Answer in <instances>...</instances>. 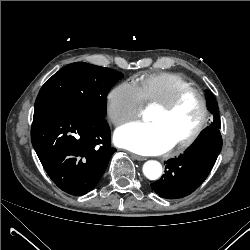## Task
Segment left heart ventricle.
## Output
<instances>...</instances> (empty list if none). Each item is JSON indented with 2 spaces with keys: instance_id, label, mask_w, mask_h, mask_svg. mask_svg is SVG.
I'll use <instances>...</instances> for the list:
<instances>
[{
  "instance_id": "left-heart-ventricle-1",
  "label": "left heart ventricle",
  "mask_w": 250,
  "mask_h": 250,
  "mask_svg": "<svg viewBox=\"0 0 250 250\" xmlns=\"http://www.w3.org/2000/svg\"><path fill=\"white\" fill-rule=\"evenodd\" d=\"M202 108L199 98L192 94L187 96L169 114L154 108L148 116V121L157 124L175 144L189 136L201 120Z\"/></svg>"
}]
</instances>
